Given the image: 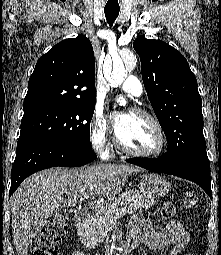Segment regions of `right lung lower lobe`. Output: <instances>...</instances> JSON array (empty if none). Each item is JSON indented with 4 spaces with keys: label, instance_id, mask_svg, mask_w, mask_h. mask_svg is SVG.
Wrapping results in <instances>:
<instances>
[{
    "label": "right lung lower lobe",
    "instance_id": "obj_1",
    "mask_svg": "<svg viewBox=\"0 0 221 255\" xmlns=\"http://www.w3.org/2000/svg\"><path fill=\"white\" fill-rule=\"evenodd\" d=\"M96 157L91 148L69 146L31 137H19L11 171L9 195H12L26 177L37 171L55 166L79 167L92 162Z\"/></svg>",
    "mask_w": 221,
    "mask_h": 255
}]
</instances>
